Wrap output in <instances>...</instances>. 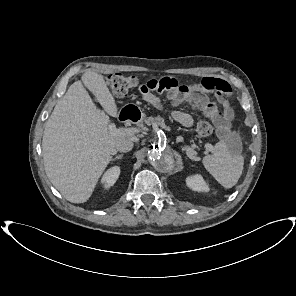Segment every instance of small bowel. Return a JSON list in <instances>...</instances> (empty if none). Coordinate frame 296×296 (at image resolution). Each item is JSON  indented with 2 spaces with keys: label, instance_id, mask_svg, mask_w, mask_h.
<instances>
[{
  "label": "small bowel",
  "instance_id": "1",
  "mask_svg": "<svg viewBox=\"0 0 296 296\" xmlns=\"http://www.w3.org/2000/svg\"><path fill=\"white\" fill-rule=\"evenodd\" d=\"M139 91L143 99L156 108H161L162 105L155 92H165L173 106L179 107L182 103L187 102L197 110H205L210 104L208 94L214 93L222 108V119L214 120L220 134L227 131L233 115L228 103L231 87L228 82L220 78L205 77L200 82L190 84H181L172 77L150 79L139 87ZM172 117L185 127L193 125L192 116L179 109L172 112Z\"/></svg>",
  "mask_w": 296,
  "mask_h": 296
}]
</instances>
